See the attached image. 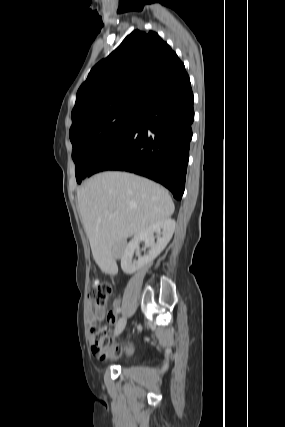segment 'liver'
Here are the masks:
<instances>
[{
    "label": "liver",
    "mask_w": 285,
    "mask_h": 427,
    "mask_svg": "<svg viewBox=\"0 0 285 427\" xmlns=\"http://www.w3.org/2000/svg\"><path fill=\"white\" fill-rule=\"evenodd\" d=\"M77 200L93 258L101 267L115 264L114 248L120 242L170 218L175 209L163 187L125 172L93 176L77 190Z\"/></svg>",
    "instance_id": "liver-1"
}]
</instances>
